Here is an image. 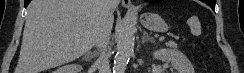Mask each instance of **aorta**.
I'll list each match as a JSON object with an SVG mask.
<instances>
[{
	"label": "aorta",
	"instance_id": "762f6f07",
	"mask_svg": "<svg viewBox=\"0 0 244 73\" xmlns=\"http://www.w3.org/2000/svg\"><path fill=\"white\" fill-rule=\"evenodd\" d=\"M134 43V33L130 27H127L118 45V51L114 60V73H124L129 59L133 54Z\"/></svg>",
	"mask_w": 244,
	"mask_h": 73
}]
</instances>
